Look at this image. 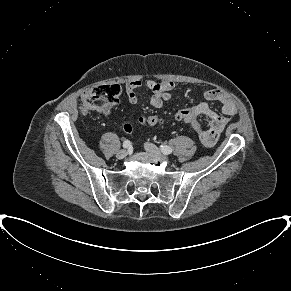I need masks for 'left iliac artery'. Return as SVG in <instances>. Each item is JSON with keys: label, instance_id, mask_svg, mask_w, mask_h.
<instances>
[{"label": "left iliac artery", "instance_id": "44dca946", "mask_svg": "<svg viewBox=\"0 0 291 291\" xmlns=\"http://www.w3.org/2000/svg\"><path fill=\"white\" fill-rule=\"evenodd\" d=\"M160 148H161L162 153L165 155L171 154L173 151V149L167 145H161Z\"/></svg>", "mask_w": 291, "mask_h": 291}]
</instances>
